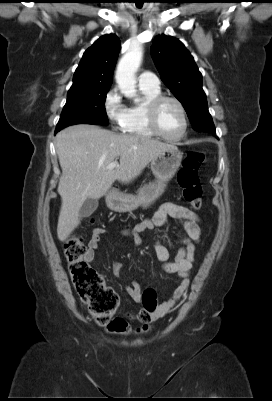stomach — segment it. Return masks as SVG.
Returning <instances> with one entry per match:
<instances>
[{"mask_svg":"<svg viewBox=\"0 0 272 401\" xmlns=\"http://www.w3.org/2000/svg\"><path fill=\"white\" fill-rule=\"evenodd\" d=\"M183 153L176 147L161 152L151 161L155 181L142 186L137 194L112 192L107 194V206L117 212H130L138 207L147 208L164 192L166 184L181 165Z\"/></svg>","mask_w":272,"mask_h":401,"instance_id":"0dacf381","label":"stomach"}]
</instances>
